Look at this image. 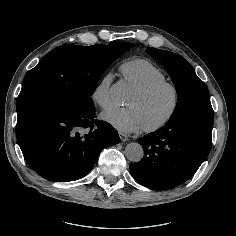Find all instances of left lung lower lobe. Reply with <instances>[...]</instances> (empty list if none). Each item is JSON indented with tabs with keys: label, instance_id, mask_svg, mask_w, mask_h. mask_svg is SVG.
<instances>
[{
	"label": "left lung lower lobe",
	"instance_id": "1",
	"mask_svg": "<svg viewBox=\"0 0 236 236\" xmlns=\"http://www.w3.org/2000/svg\"><path fill=\"white\" fill-rule=\"evenodd\" d=\"M212 121L189 119L166 124L139 138L144 156L130 165L141 185L164 190L187 181L207 158L212 145Z\"/></svg>",
	"mask_w": 236,
	"mask_h": 236
}]
</instances>
